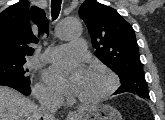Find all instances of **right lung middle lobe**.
<instances>
[{"mask_svg":"<svg viewBox=\"0 0 165 120\" xmlns=\"http://www.w3.org/2000/svg\"><path fill=\"white\" fill-rule=\"evenodd\" d=\"M25 58L0 59V81H15L30 85L27 76L28 69L25 68Z\"/></svg>","mask_w":165,"mask_h":120,"instance_id":"right-lung-middle-lobe-1","label":"right lung middle lobe"}]
</instances>
